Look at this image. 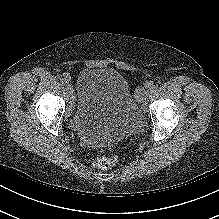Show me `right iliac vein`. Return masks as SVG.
<instances>
[{
  "label": "right iliac vein",
  "instance_id": "1",
  "mask_svg": "<svg viewBox=\"0 0 219 219\" xmlns=\"http://www.w3.org/2000/svg\"><path fill=\"white\" fill-rule=\"evenodd\" d=\"M67 89H68L70 95H73V94H74V90H73V87H72L71 85L68 84V85H67Z\"/></svg>",
  "mask_w": 219,
  "mask_h": 219
}]
</instances>
